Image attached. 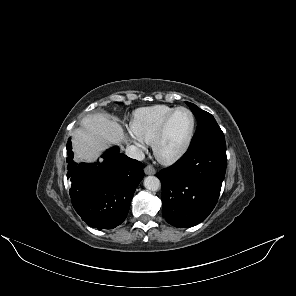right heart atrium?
<instances>
[{"mask_svg":"<svg viewBox=\"0 0 296 296\" xmlns=\"http://www.w3.org/2000/svg\"><path fill=\"white\" fill-rule=\"evenodd\" d=\"M130 139L132 143L140 150V151H145L146 146L145 143L142 142L140 139H138L135 134H130Z\"/></svg>","mask_w":296,"mask_h":296,"instance_id":"d8ad5b80","label":"right heart atrium"}]
</instances>
